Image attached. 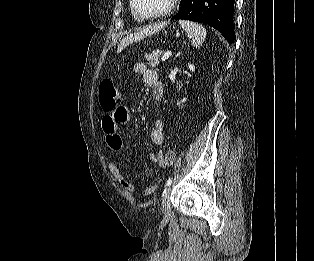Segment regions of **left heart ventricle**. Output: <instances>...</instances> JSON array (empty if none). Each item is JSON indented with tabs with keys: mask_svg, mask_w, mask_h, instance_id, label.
<instances>
[{
	"mask_svg": "<svg viewBox=\"0 0 314 261\" xmlns=\"http://www.w3.org/2000/svg\"><path fill=\"white\" fill-rule=\"evenodd\" d=\"M170 0H136V6L143 14H153L165 9Z\"/></svg>",
	"mask_w": 314,
	"mask_h": 261,
	"instance_id": "left-heart-ventricle-1",
	"label": "left heart ventricle"
}]
</instances>
